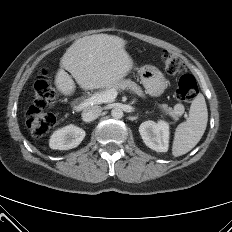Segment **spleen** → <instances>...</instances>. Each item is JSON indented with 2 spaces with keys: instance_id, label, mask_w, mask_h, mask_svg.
I'll list each match as a JSON object with an SVG mask.
<instances>
[{
  "instance_id": "1",
  "label": "spleen",
  "mask_w": 232,
  "mask_h": 232,
  "mask_svg": "<svg viewBox=\"0 0 232 232\" xmlns=\"http://www.w3.org/2000/svg\"><path fill=\"white\" fill-rule=\"evenodd\" d=\"M208 121V111L205 98L199 94L192 101L189 118L180 123L174 134L172 154L175 157L189 152L202 138Z\"/></svg>"
}]
</instances>
